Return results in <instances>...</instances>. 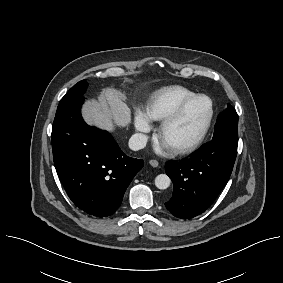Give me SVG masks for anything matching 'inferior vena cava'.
Here are the masks:
<instances>
[{
	"label": "inferior vena cava",
	"instance_id": "inferior-vena-cava-1",
	"mask_svg": "<svg viewBox=\"0 0 283 283\" xmlns=\"http://www.w3.org/2000/svg\"><path fill=\"white\" fill-rule=\"evenodd\" d=\"M148 137L141 133H136L131 136L129 139L130 149L137 151L143 149L146 146Z\"/></svg>",
	"mask_w": 283,
	"mask_h": 283
}]
</instances>
